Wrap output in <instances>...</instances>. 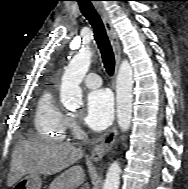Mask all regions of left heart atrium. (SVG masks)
<instances>
[{
    "mask_svg": "<svg viewBox=\"0 0 188 189\" xmlns=\"http://www.w3.org/2000/svg\"><path fill=\"white\" fill-rule=\"evenodd\" d=\"M114 100L108 89H98L88 94L85 123L95 131L107 128L113 119Z\"/></svg>",
    "mask_w": 188,
    "mask_h": 189,
    "instance_id": "left-heart-atrium-1",
    "label": "left heart atrium"
}]
</instances>
